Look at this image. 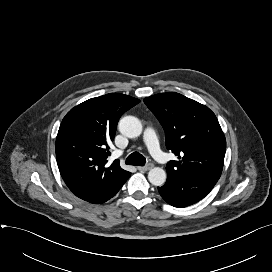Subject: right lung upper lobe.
<instances>
[{
    "mask_svg": "<svg viewBox=\"0 0 272 272\" xmlns=\"http://www.w3.org/2000/svg\"><path fill=\"white\" fill-rule=\"evenodd\" d=\"M139 102L128 95L110 93L77 105L63 118L56 138V159L74 195L99 204L130 177L119 160L109 165L107 158L119 118Z\"/></svg>",
    "mask_w": 272,
    "mask_h": 272,
    "instance_id": "cb5924a9",
    "label": "right lung upper lobe"
}]
</instances>
